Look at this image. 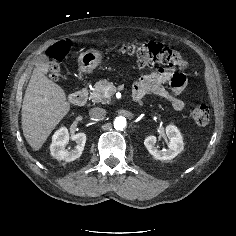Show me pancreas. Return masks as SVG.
I'll return each mask as SVG.
<instances>
[{"label": "pancreas", "mask_w": 236, "mask_h": 236, "mask_svg": "<svg viewBox=\"0 0 236 236\" xmlns=\"http://www.w3.org/2000/svg\"><path fill=\"white\" fill-rule=\"evenodd\" d=\"M116 92L113 82L106 79L99 80L95 83L94 89L90 92V99L93 103H108L110 97Z\"/></svg>", "instance_id": "obj_1"}]
</instances>
